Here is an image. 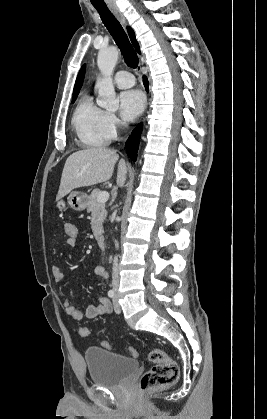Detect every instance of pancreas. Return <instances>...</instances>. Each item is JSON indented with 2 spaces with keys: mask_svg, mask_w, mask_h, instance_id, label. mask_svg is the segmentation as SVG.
Segmentation results:
<instances>
[{
  "mask_svg": "<svg viewBox=\"0 0 267 419\" xmlns=\"http://www.w3.org/2000/svg\"><path fill=\"white\" fill-rule=\"evenodd\" d=\"M101 191L94 189L88 197L87 210L91 212V229L96 239H99L103 233L102 224L107 216L105 203L98 202L97 197Z\"/></svg>",
  "mask_w": 267,
  "mask_h": 419,
  "instance_id": "obj_1",
  "label": "pancreas"
}]
</instances>
